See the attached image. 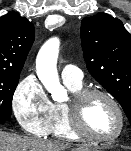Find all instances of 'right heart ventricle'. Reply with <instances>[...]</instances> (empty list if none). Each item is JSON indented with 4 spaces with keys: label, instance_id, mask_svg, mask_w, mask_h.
<instances>
[{
    "label": "right heart ventricle",
    "instance_id": "1",
    "mask_svg": "<svg viewBox=\"0 0 131 151\" xmlns=\"http://www.w3.org/2000/svg\"><path fill=\"white\" fill-rule=\"evenodd\" d=\"M64 83L72 93L83 88L82 82L74 83L64 81ZM46 135L66 141H76L80 139L71 128L66 103H52V118Z\"/></svg>",
    "mask_w": 131,
    "mask_h": 151
}]
</instances>
